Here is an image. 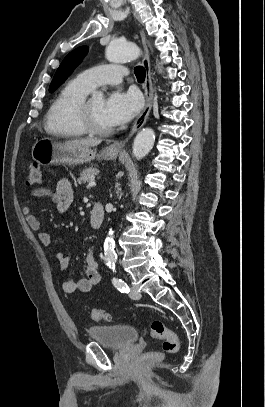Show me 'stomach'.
<instances>
[{
    "label": "stomach",
    "instance_id": "obj_1",
    "mask_svg": "<svg viewBox=\"0 0 265 407\" xmlns=\"http://www.w3.org/2000/svg\"><path fill=\"white\" fill-rule=\"evenodd\" d=\"M32 159L40 165L70 164L77 165L90 162L96 157L107 160L116 159L118 152L103 149L100 154L89 147L67 145L49 139L37 140L32 147Z\"/></svg>",
    "mask_w": 265,
    "mask_h": 407
}]
</instances>
